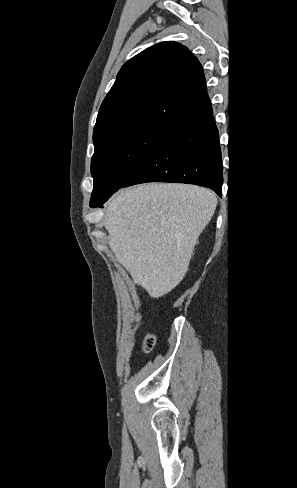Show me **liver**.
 <instances>
[{
    "mask_svg": "<svg viewBox=\"0 0 297 488\" xmlns=\"http://www.w3.org/2000/svg\"><path fill=\"white\" fill-rule=\"evenodd\" d=\"M217 206L215 194L189 184L123 189L108 202V244L135 284L153 298L184 278L198 237Z\"/></svg>",
    "mask_w": 297,
    "mask_h": 488,
    "instance_id": "1",
    "label": "liver"
}]
</instances>
